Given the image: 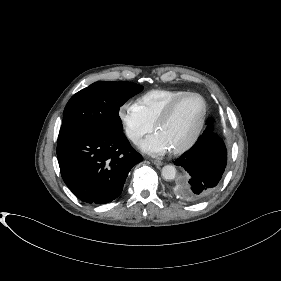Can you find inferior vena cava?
<instances>
[{"mask_svg":"<svg viewBox=\"0 0 281 281\" xmlns=\"http://www.w3.org/2000/svg\"><path fill=\"white\" fill-rule=\"evenodd\" d=\"M132 140H133V141L136 140V137H133Z\"/></svg>","mask_w":281,"mask_h":281,"instance_id":"inferior-vena-cava-1","label":"inferior vena cava"}]
</instances>
